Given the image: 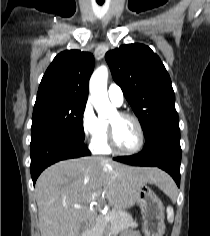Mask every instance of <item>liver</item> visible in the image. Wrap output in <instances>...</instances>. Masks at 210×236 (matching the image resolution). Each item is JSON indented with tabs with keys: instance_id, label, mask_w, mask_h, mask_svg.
I'll list each match as a JSON object with an SVG mask.
<instances>
[{
	"instance_id": "6515ba94",
	"label": "liver",
	"mask_w": 210,
	"mask_h": 236,
	"mask_svg": "<svg viewBox=\"0 0 210 236\" xmlns=\"http://www.w3.org/2000/svg\"><path fill=\"white\" fill-rule=\"evenodd\" d=\"M146 183L165 191L172 180L157 168L130 167L94 156L55 163L35 186L41 236H79L81 225L91 222L90 203L107 200L113 208H130Z\"/></svg>"
}]
</instances>
